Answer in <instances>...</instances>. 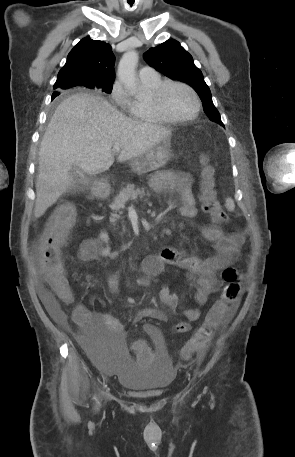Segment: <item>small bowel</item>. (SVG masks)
<instances>
[{
    "mask_svg": "<svg viewBox=\"0 0 295 457\" xmlns=\"http://www.w3.org/2000/svg\"><path fill=\"white\" fill-rule=\"evenodd\" d=\"M151 186L157 191H169L177 194L181 200L180 213L182 216L191 218L197 214L192 192V180L188 174L171 170L164 171L152 180ZM202 234L214 244L215 253L212 256L200 259L180 252L173 247H165L158 254L146 257L142 264V273L150 277L159 276L171 268L184 272L194 285V299L199 306L206 304L208 297L217 291L219 287L218 272L229 268L237 260L240 248L245 241V236L241 231L233 230L226 234L215 225L203 227ZM113 256L115 253L111 250L110 237L105 230L100 231L95 238L84 239L77 253L78 259L83 262L92 261L97 257ZM45 281L47 282L46 277ZM107 283L110 292L117 295L118 275L112 273L108 277ZM39 294L47 311L58 321L64 322V314L53 294L44 287L40 288ZM159 299L166 307L175 309L179 303V294L172 292L169 286H165L159 294ZM184 315L186 320L177 323L174 327L177 333L190 331L192 323L200 318L201 311L199 308H190L184 311ZM133 316L139 319L166 320V314L162 309L151 306L135 309ZM74 321L88 338H99L100 334L103 333L120 335L123 332L122 324L111 314L94 313L83 305L75 309ZM144 330L155 345H163L160 331L156 326L147 323L144 325ZM204 351L198 353L196 357L201 358Z\"/></svg>",
    "mask_w": 295,
    "mask_h": 457,
    "instance_id": "1",
    "label": "small bowel"
}]
</instances>
